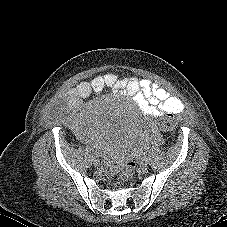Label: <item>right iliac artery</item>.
Segmentation results:
<instances>
[{"label":"right iliac artery","mask_w":227,"mask_h":227,"mask_svg":"<svg viewBox=\"0 0 227 227\" xmlns=\"http://www.w3.org/2000/svg\"><path fill=\"white\" fill-rule=\"evenodd\" d=\"M87 151H91V148L89 146L86 147ZM93 157V156H92Z\"/></svg>","instance_id":"right-iliac-artery-1"}]
</instances>
